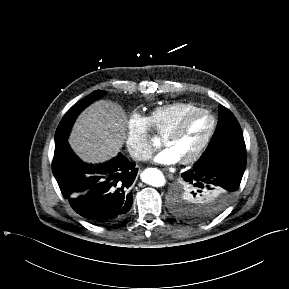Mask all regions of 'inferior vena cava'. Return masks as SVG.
Here are the masks:
<instances>
[{
	"label": "inferior vena cava",
	"instance_id": "obj_1",
	"mask_svg": "<svg viewBox=\"0 0 289 289\" xmlns=\"http://www.w3.org/2000/svg\"><path fill=\"white\" fill-rule=\"evenodd\" d=\"M132 157L135 160L146 161L151 158V153L146 151H136L133 153Z\"/></svg>",
	"mask_w": 289,
	"mask_h": 289
}]
</instances>
